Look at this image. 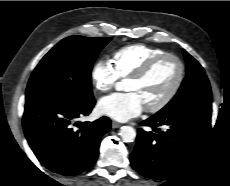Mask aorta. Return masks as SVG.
Returning a JSON list of instances; mask_svg holds the SVG:
<instances>
[{
  "instance_id": "obj_1",
  "label": "aorta",
  "mask_w": 230,
  "mask_h": 186,
  "mask_svg": "<svg viewBox=\"0 0 230 186\" xmlns=\"http://www.w3.org/2000/svg\"><path fill=\"white\" fill-rule=\"evenodd\" d=\"M120 136L123 142L126 143L133 142L136 138V131L131 126H123L120 129Z\"/></svg>"
}]
</instances>
